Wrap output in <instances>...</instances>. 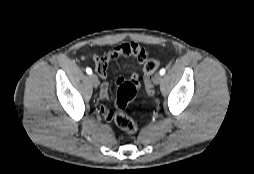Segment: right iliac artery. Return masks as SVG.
Masks as SVG:
<instances>
[{"mask_svg":"<svg viewBox=\"0 0 254 174\" xmlns=\"http://www.w3.org/2000/svg\"><path fill=\"white\" fill-rule=\"evenodd\" d=\"M86 72H87V74H92L91 68H86Z\"/></svg>","mask_w":254,"mask_h":174,"instance_id":"obj_1","label":"right iliac artery"}]
</instances>
